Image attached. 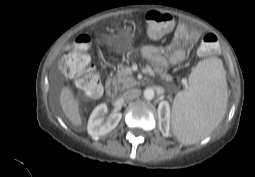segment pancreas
Returning a JSON list of instances; mask_svg holds the SVG:
<instances>
[{"instance_id": "obj_1", "label": "pancreas", "mask_w": 255, "mask_h": 177, "mask_svg": "<svg viewBox=\"0 0 255 177\" xmlns=\"http://www.w3.org/2000/svg\"><path fill=\"white\" fill-rule=\"evenodd\" d=\"M154 69L163 79L167 81L172 80V76L164 71V69L159 65H155ZM114 83L120 90H125L137 85V81L132 76L131 68L122 64L118 65L117 74L116 77H114Z\"/></svg>"}]
</instances>
